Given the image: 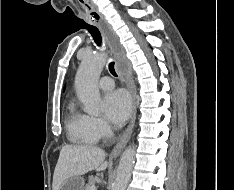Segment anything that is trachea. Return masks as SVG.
<instances>
[{"mask_svg": "<svg viewBox=\"0 0 234 190\" xmlns=\"http://www.w3.org/2000/svg\"><path fill=\"white\" fill-rule=\"evenodd\" d=\"M84 28H86L89 31V33L92 35L95 43L98 46H101L102 45V37H101L99 30L95 26H91V25L85 26ZM114 64H115L114 62L109 63V71L112 75L117 76L115 68H114Z\"/></svg>", "mask_w": 234, "mask_h": 190, "instance_id": "1", "label": "trachea"}]
</instances>
